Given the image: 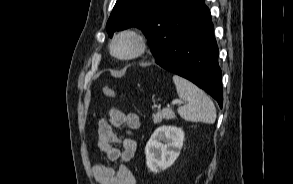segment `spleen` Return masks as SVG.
Returning <instances> with one entry per match:
<instances>
[{
	"instance_id": "spleen-1",
	"label": "spleen",
	"mask_w": 293,
	"mask_h": 184,
	"mask_svg": "<svg viewBox=\"0 0 293 184\" xmlns=\"http://www.w3.org/2000/svg\"><path fill=\"white\" fill-rule=\"evenodd\" d=\"M178 96L186 102L178 108L181 118L191 122L213 124L216 120V108L206 93L187 79L173 76Z\"/></svg>"
}]
</instances>
